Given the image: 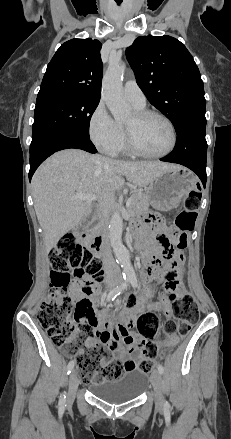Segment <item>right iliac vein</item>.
<instances>
[{
  "label": "right iliac vein",
  "mask_w": 231,
  "mask_h": 439,
  "mask_svg": "<svg viewBox=\"0 0 231 439\" xmlns=\"http://www.w3.org/2000/svg\"><path fill=\"white\" fill-rule=\"evenodd\" d=\"M79 381L77 378V373L75 370L70 374L69 379V394H68V402L72 401L76 395L78 389Z\"/></svg>",
  "instance_id": "1"
}]
</instances>
